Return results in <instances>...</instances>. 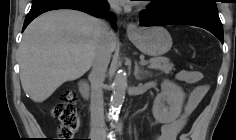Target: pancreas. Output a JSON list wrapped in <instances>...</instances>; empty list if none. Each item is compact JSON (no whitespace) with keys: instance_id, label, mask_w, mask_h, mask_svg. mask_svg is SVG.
Wrapping results in <instances>:
<instances>
[{"instance_id":"1","label":"pancreas","mask_w":236,"mask_h":140,"mask_svg":"<svg viewBox=\"0 0 236 140\" xmlns=\"http://www.w3.org/2000/svg\"><path fill=\"white\" fill-rule=\"evenodd\" d=\"M149 68L160 70L164 73H171V71L174 69L173 64L169 62V59L165 57H155L150 59V65Z\"/></svg>"}]
</instances>
